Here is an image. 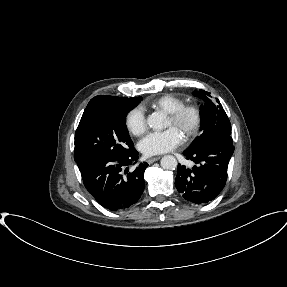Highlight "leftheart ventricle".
Segmentation results:
<instances>
[{
	"instance_id": "left-heart-ventricle-1",
	"label": "left heart ventricle",
	"mask_w": 287,
	"mask_h": 287,
	"mask_svg": "<svg viewBox=\"0 0 287 287\" xmlns=\"http://www.w3.org/2000/svg\"><path fill=\"white\" fill-rule=\"evenodd\" d=\"M191 124V117L186 116L181 122L174 123L169 117L167 118L166 127H175L177 128L182 135H185L187 128Z\"/></svg>"
}]
</instances>
